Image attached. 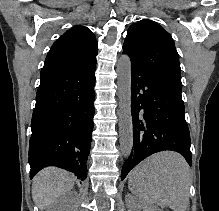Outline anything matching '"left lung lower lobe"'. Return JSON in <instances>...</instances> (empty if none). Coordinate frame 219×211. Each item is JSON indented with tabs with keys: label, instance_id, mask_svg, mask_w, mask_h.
<instances>
[{
	"label": "left lung lower lobe",
	"instance_id": "left-lung-lower-lobe-1",
	"mask_svg": "<svg viewBox=\"0 0 219 211\" xmlns=\"http://www.w3.org/2000/svg\"><path fill=\"white\" fill-rule=\"evenodd\" d=\"M133 150L124 163L121 180L146 157L173 150L192 164L190 134L181 90L131 63Z\"/></svg>",
	"mask_w": 219,
	"mask_h": 211
}]
</instances>
